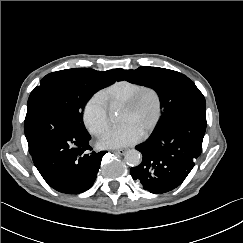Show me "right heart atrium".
<instances>
[{
	"label": "right heart atrium",
	"instance_id": "right-heart-atrium-1",
	"mask_svg": "<svg viewBox=\"0 0 243 243\" xmlns=\"http://www.w3.org/2000/svg\"><path fill=\"white\" fill-rule=\"evenodd\" d=\"M83 122L93 135L102 134L108 127L107 102L101 93L92 95L83 108Z\"/></svg>",
	"mask_w": 243,
	"mask_h": 243
}]
</instances>
